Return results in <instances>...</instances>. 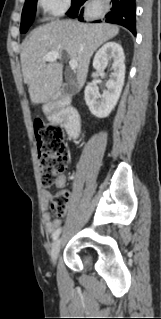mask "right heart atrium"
Wrapping results in <instances>:
<instances>
[{
  "mask_svg": "<svg viewBox=\"0 0 161 319\" xmlns=\"http://www.w3.org/2000/svg\"><path fill=\"white\" fill-rule=\"evenodd\" d=\"M70 3L71 0H38V5L48 19L63 14Z\"/></svg>",
  "mask_w": 161,
  "mask_h": 319,
  "instance_id": "d8ad5b80",
  "label": "right heart atrium"
}]
</instances>
